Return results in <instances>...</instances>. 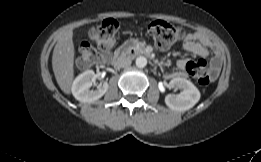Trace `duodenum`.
Wrapping results in <instances>:
<instances>
[{
  "instance_id": "duodenum-1",
  "label": "duodenum",
  "mask_w": 261,
  "mask_h": 162,
  "mask_svg": "<svg viewBox=\"0 0 261 162\" xmlns=\"http://www.w3.org/2000/svg\"><path fill=\"white\" fill-rule=\"evenodd\" d=\"M129 50H130L131 54L142 55L144 57L147 56V52H145L144 50H141V49H138V48H135V47H130ZM118 57H119V54H113V55L105 56L104 57L105 64L117 65L118 63H120V60H119Z\"/></svg>"
}]
</instances>
